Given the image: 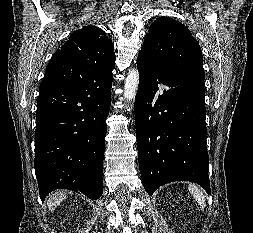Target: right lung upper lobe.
Returning a JSON list of instances; mask_svg holds the SVG:
<instances>
[{"label": "right lung upper lobe", "mask_w": 253, "mask_h": 233, "mask_svg": "<svg viewBox=\"0 0 253 233\" xmlns=\"http://www.w3.org/2000/svg\"><path fill=\"white\" fill-rule=\"evenodd\" d=\"M114 45L96 26L74 31L50 60L40 89L48 85L101 76L115 66Z\"/></svg>", "instance_id": "obj_1"}]
</instances>
